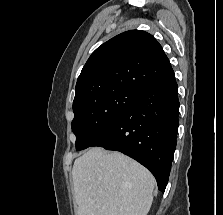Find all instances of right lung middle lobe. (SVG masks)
<instances>
[{"mask_svg":"<svg viewBox=\"0 0 223 215\" xmlns=\"http://www.w3.org/2000/svg\"><path fill=\"white\" fill-rule=\"evenodd\" d=\"M139 95L116 90L73 107L72 131L76 150H83L102 137L124 114Z\"/></svg>","mask_w":223,"mask_h":215,"instance_id":"obj_1","label":"right lung middle lobe"}]
</instances>
